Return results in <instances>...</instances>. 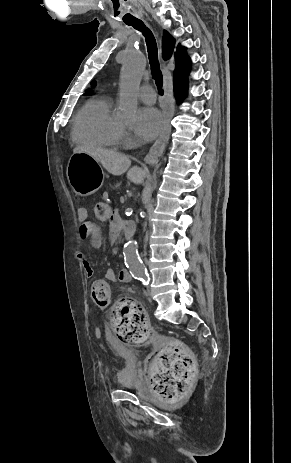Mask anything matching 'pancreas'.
Segmentation results:
<instances>
[{"instance_id":"pancreas-1","label":"pancreas","mask_w":291,"mask_h":463,"mask_svg":"<svg viewBox=\"0 0 291 463\" xmlns=\"http://www.w3.org/2000/svg\"><path fill=\"white\" fill-rule=\"evenodd\" d=\"M108 191L112 194L120 195L121 184L120 183H110L108 187Z\"/></svg>"}]
</instances>
